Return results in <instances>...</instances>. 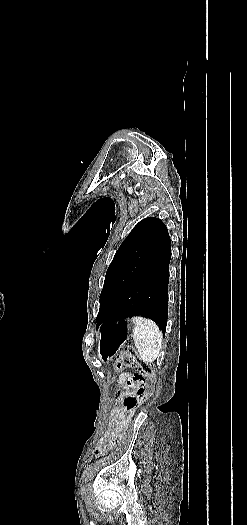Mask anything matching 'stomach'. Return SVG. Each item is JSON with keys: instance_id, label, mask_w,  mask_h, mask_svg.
<instances>
[{"instance_id": "1", "label": "stomach", "mask_w": 247, "mask_h": 525, "mask_svg": "<svg viewBox=\"0 0 247 525\" xmlns=\"http://www.w3.org/2000/svg\"><path fill=\"white\" fill-rule=\"evenodd\" d=\"M132 320H117L104 324L97 334L98 354L104 360H111L126 341L132 337L134 325Z\"/></svg>"}]
</instances>
